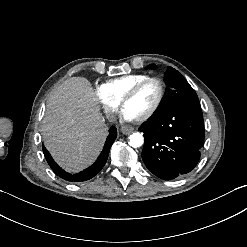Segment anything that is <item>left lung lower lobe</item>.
<instances>
[{
	"instance_id": "1",
	"label": "left lung lower lobe",
	"mask_w": 247,
	"mask_h": 247,
	"mask_svg": "<svg viewBox=\"0 0 247 247\" xmlns=\"http://www.w3.org/2000/svg\"><path fill=\"white\" fill-rule=\"evenodd\" d=\"M139 130L144 133L142 159L150 172L171 180L192 171L204 144L200 106L179 105L153 115Z\"/></svg>"
}]
</instances>
